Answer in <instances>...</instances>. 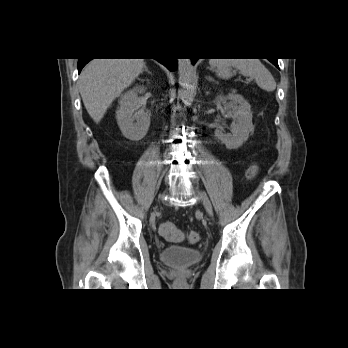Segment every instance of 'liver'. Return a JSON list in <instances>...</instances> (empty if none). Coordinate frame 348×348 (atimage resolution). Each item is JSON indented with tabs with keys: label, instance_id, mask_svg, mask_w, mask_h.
<instances>
[{
	"label": "liver",
	"instance_id": "liver-1",
	"mask_svg": "<svg viewBox=\"0 0 348 348\" xmlns=\"http://www.w3.org/2000/svg\"><path fill=\"white\" fill-rule=\"evenodd\" d=\"M144 59H93L82 70L79 91L84 106L99 123L112 102L143 72Z\"/></svg>",
	"mask_w": 348,
	"mask_h": 348
}]
</instances>
